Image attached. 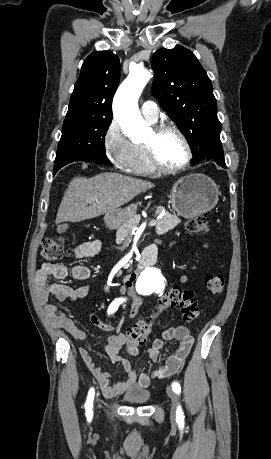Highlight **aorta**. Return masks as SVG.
Here are the masks:
<instances>
[{"label":"aorta","mask_w":271,"mask_h":459,"mask_svg":"<svg viewBox=\"0 0 271 459\" xmlns=\"http://www.w3.org/2000/svg\"><path fill=\"white\" fill-rule=\"evenodd\" d=\"M152 77L150 71L136 68L119 86L113 100V114L122 130L133 138L141 139L148 133V125L143 120L138 99L147 82ZM166 283L165 270L158 264L145 265L136 281L139 293L150 295L161 292Z\"/></svg>","instance_id":"1"}]
</instances>
